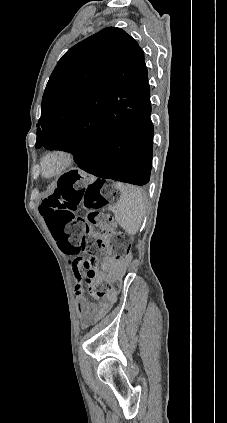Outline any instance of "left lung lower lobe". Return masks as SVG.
<instances>
[{"label":"left lung lower lobe","mask_w":227,"mask_h":423,"mask_svg":"<svg viewBox=\"0 0 227 423\" xmlns=\"http://www.w3.org/2000/svg\"><path fill=\"white\" fill-rule=\"evenodd\" d=\"M150 113V103L141 113L108 112L85 135L47 149L71 152L78 166L95 176L145 185L150 180L153 150ZM69 175H77V171Z\"/></svg>","instance_id":"obj_1"}]
</instances>
